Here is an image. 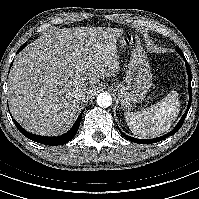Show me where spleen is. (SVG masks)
Wrapping results in <instances>:
<instances>
[{"mask_svg": "<svg viewBox=\"0 0 199 199\" xmlns=\"http://www.w3.org/2000/svg\"><path fill=\"white\" fill-rule=\"evenodd\" d=\"M179 111L178 94L172 91L157 104L141 111L125 112L124 116L136 136L154 138L172 126Z\"/></svg>", "mask_w": 199, "mask_h": 199, "instance_id": "1", "label": "spleen"}]
</instances>
